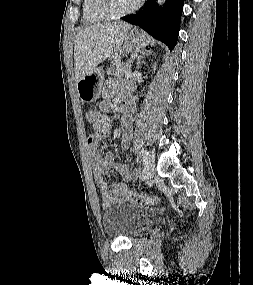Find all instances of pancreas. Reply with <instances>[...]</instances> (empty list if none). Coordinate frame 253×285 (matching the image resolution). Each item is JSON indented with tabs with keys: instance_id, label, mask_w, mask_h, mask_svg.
Returning <instances> with one entry per match:
<instances>
[{
	"instance_id": "obj_1",
	"label": "pancreas",
	"mask_w": 253,
	"mask_h": 285,
	"mask_svg": "<svg viewBox=\"0 0 253 285\" xmlns=\"http://www.w3.org/2000/svg\"><path fill=\"white\" fill-rule=\"evenodd\" d=\"M131 70V63H120L113 62L112 65L107 69V74L115 77H123L126 73Z\"/></svg>"
}]
</instances>
